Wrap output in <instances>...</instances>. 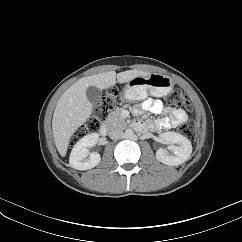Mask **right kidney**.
<instances>
[{"instance_id":"right-kidney-1","label":"right kidney","mask_w":242,"mask_h":242,"mask_svg":"<svg viewBox=\"0 0 242 242\" xmlns=\"http://www.w3.org/2000/svg\"><path fill=\"white\" fill-rule=\"evenodd\" d=\"M98 140V133H91L81 138L71 151L70 166L77 170H88L98 165L101 160L100 154L97 152L89 153L88 150L89 147L95 146Z\"/></svg>"}]
</instances>
